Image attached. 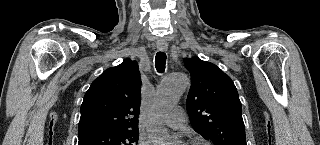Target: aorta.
Instances as JSON below:
<instances>
[{
  "label": "aorta",
  "instance_id": "1",
  "mask_svg": "<svg viewBox=\"0 0 320 145\" xmlns=\"http://www.w3.org/2000/svg\"><path fill=\"white\" fill-rule=\"evenodd\" d=\"M189 84L185 74L174 73L162 81L154 98L148 123V134L153 145H173L163 119L176 106Z\"/></svg>",
  "mask_w": 320,
  "mask_h": 145
}]
</instances>
